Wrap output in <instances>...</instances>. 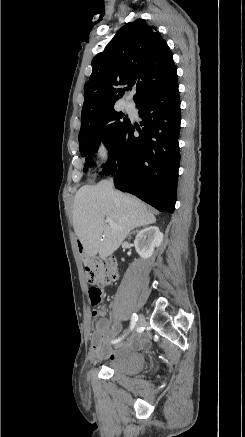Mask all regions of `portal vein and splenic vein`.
Returning <instances> with one entry per match:
<instances>
[{
    "mask_svg": "<svg viewBox=\"0 0 245 437\" xmlns=\"http://www.w3.org/2000/svg\"><path fill=\"white\" fill-rule=\"evenodd\" d=\"M106 222H107L110 226H112V227H116V224L113 222V220H112L111 218L107 217V218H106Z\"/></svg>",
    "mask_w": 245,
    "mask_h": 437,
    "instance_id": "obj_1",
    "label": "portal vein and splenic vein"
}]
</instances>
